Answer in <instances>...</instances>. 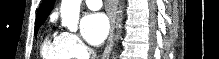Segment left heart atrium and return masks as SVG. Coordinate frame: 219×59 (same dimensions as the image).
<instances>
[{
    "label": "left heart atrium",
    "mask_w": 219,
    "mask_h": 59,
    "mask_svg": "<svg viewBox=\"0 0 219 59\" xmlns=\"http://www.w3.org/2000/svg\"><path fill=\"white\" fill-rule=\"evenodd\" d=\"M109 23L103 13H87L81 21V34L91 45L101 44L108 35Z\"/></svg>",
    "instance_id": "obj_1"
}]
</instances>
